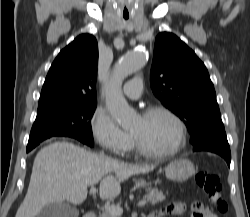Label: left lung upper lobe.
Listing matches in <instances>:
<instances>
[{"label": "left lung upper lobe", "instance_id": "left-lung-upper-lobe-1", "mask_svg": "<svg viewBox=\"0 0 250 217\" xmlns=\"http://www.w3.org/2000/svg\"><path fill=\"white\" fill-rule=\"evenodd\" d=\"M151 88L162 104L184 121L192 144L224 127L204 63L172 33L162 32L155 39Z\"/></svg>", "mask_w": 250, "mask_h": 217}]
</instances>
